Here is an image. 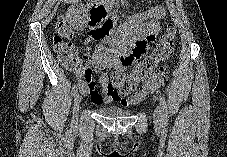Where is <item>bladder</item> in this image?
Listing matches in <instances>:
<instances>
[{"instance_id": "bladder-1", "label": "bladder", "mask_w": 227, "mask_h": 157, "mask_svg": "<svg viewBox=\"0 0 227 157\" xmlns=\"http://www.w3.org/2000/svg\"><path fill=\"white\" fill-rule=\"evenodd\" d=\"M97 112L104 117L119 118L129 116L132 111L118 106H106L97 109Z\"/></svg>"}]
</instances>
